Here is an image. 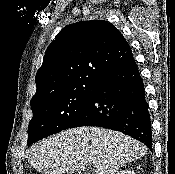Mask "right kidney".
Here are the masks:
<instances>
[{"label": "right kidney", "instance_id": "right-kidney-1", "mask_svg": "<svg viewBox=\"0 0 175 174\" xmlns=\"http://www.w3.org/2000/svg\"><path fill=\"white\" fill-rule=\"evenodd\" d=\"M117 174H135V173L134 171L125 169V170L118 171Z\"/></svg>", "mask_w": 175, "mask_h": 174}]
</instances>
